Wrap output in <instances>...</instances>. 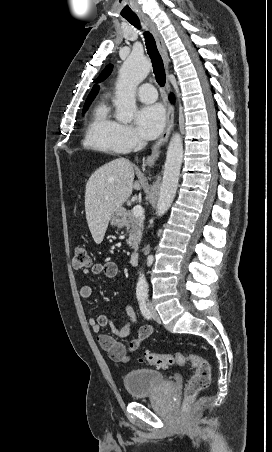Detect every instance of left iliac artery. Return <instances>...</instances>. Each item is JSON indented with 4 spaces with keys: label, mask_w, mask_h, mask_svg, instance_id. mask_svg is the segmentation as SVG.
Here are the masks:
<instances>
[{
    "label": "left iliac artery",
    "mask_w": 272,
    "mask_h": 452,
    "mask_svg": "<svg viewBox=\"0 0 272 452\" xmlns=\"http://www.w3.org/2000/svg\"><path fill=\"white\" fill-rule=\"evenodd\" d=\"M140 310L145 318H147V319L150 318V312L147 309L145 298L140 299Z\"/></svg>",
    "instance_id": "obj_1"
}]
</instances>
